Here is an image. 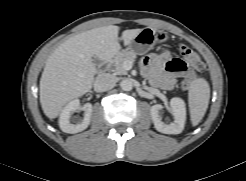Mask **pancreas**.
<instances>
[{
	"mask_svg": "<svg viewBox=\"0 0 246 181\" xmlns=\"http://www.w3.org/2000/svg\"><path fill=\"white\" fill-rule=\"evenodd\" d=\"M136 54L131 51L119 53L113 59V71L116 75H126L127 69L124 67L125 62H134Z\"/></svg>",
	"mask_w": 246,
	"mask_h": 181,
	"instance_id": "pancreas-1",
	"label": "pancreas"
}]
</instances>
